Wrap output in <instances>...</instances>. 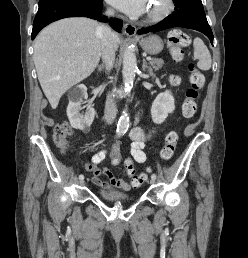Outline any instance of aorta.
<instances>
[{
	"instance_id": "1",
	"label": "aorta",
	"mask_w": 248,
	"mask_h": 258,
	"mask_svg": "<svg viewBox=\"0 0 248 258\" xmlns=\"http://www.w3.org/2000/svg\"><path fill=\"white\" fill-rule=\"evenodd\" d=\"M137 70V59L136 55L130 47H126L123 53V82L125 86V90L128 91L132 88L135 73ZM129 126V117L124 112L120 117L117 125V132L118 133H125Z\"/></svg>"
}]
</instances>
